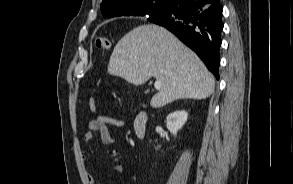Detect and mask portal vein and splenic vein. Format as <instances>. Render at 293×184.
I'll list each match as a JSON object with an SVG mask.
<instances>
[{
  "mask_svg": "<svg viewBox=\"0 0 293 184\" xmlns=\"http://www.w3.org/2000/svg\"><path fill=\"white\" fill-rule=\"evenodd\" d=\"M154 87H155V89H160L161 83L158 80H156L154 83Z\"/></svg>",
  "mask_w": 293,
  "mask_h": 184,
  "instance_id": "1",
  "label": "portal vein and splenic vein"
}]
</instances>
